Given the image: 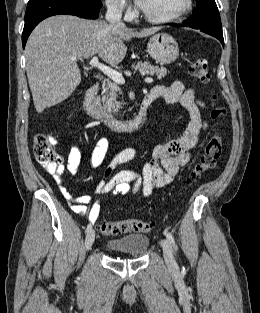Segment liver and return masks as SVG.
Returning a JSON list of instances; mask_svg holds the SVG:
<instances>
[{"label": "liver", "instance_id": "liver-1", "mask_svg": "<svg viewBox=\"0 0 260 313\" xmlns=\"http://www.w3.org/2000/svg\"><path fill=\"white\" fill-rule=\"evenodd\" d=\"M152 27L136 31L102 20L56 15L32 31L25 47L26 71L38 113L67 99L81 82L76 59L96 54L109 65L119 64L127 47L123 41L159 31Z\"/></svg>", "mask_w": 260, "mask_h": 313}]
</instances>
